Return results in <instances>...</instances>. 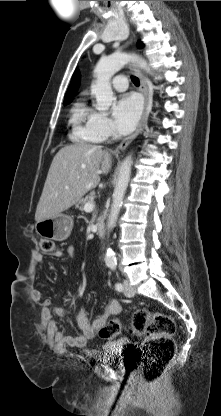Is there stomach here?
<instances>
[{
    "mask_svg": "<svg viewBox=\"0 0 221 416\" xmlns=\"http://www.w3.org/2000/svg\"><path fill=\"white\" fill-rule=\"evenodd\" d=\"M72 228L73 219L61 213L53 218L37 222L35 225L36 232L40 237L55 241L66 240L70 236Z\"/></svg>",
    "mask_w": 221,
    "mask_h": 416,
    "instance_id": "1",
    "label": "stomach"
}]
</instances>
